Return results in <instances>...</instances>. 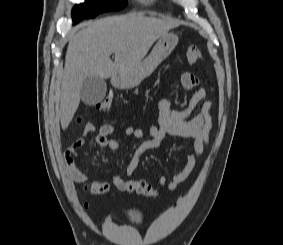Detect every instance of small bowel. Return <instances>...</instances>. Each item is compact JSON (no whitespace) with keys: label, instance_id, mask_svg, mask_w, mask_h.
<instances>
[{"label":"small bowel","instance_id":"c3829d8e","mask_svg":"<svg viewBox=\"0 0 283 245\" xmlns=\"http://www.w3.org/2000/svg\"><path fill=\"white\" fill-rule=\"evenodd\" d=\"M181 84L186 90L197 88L187 105L183 109L177 110L171 107L167 99H159L158 124L147 126L150 139L143 140L136 150L126 169L127 179L110 176V182L95 181L91 185V193L93 195L100 196L106 194L111 185H114L120 191H126V184L131 180L132 175L137 169L140 156L147 150L161 148L162 141L167 135L189 140L191 151L186 156V162L183 168L178 173L174 174L170 180L164 175L159 176L158 184L167 186L170 190H174L191 175L210 139V133L213 127L210 114L212 103L205 101L207 92L204 88L199 87L200 80L194 74L190 72L183 73L181 76ZM203 101L202 110L193 114L194 109ZM94 130V125L89 123L85 126L83 135H87ZM113 133V125H102L95 136V143L110 151H117L120 144L116 139L111 137ZM125 135L130 138L142 140L144 138V131L138 127L128 126L125 129ZM84 144V138H78L64 152L66 170L69 176L79 183H83L87 180L85 174H83L76 165L78 150L83 147ZM87 207L88 204L86 203L85 208Z\"/></svg>","mask_w":283,"mask_h":245}]
</instances>
